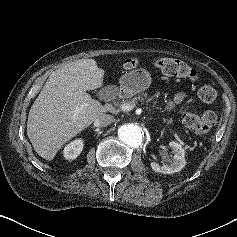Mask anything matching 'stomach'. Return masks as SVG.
I'll list each match as a JSON object with an SVG mask.
<instances>
[{
	"mask_svg": "<svg viewBox=\"0 0 237 237\" xmlns=\"http://www.w3.org/2000/svg\"><path fill=\"white\" fill-rule=\"evenodd\" d=\"M120 89L125 97H132L133 95L145 91L150 83L151 76L148 71L143 68L134 69L124 74L120 80Z\"/></svg>",
	"mask_w": 237,
	"mask_h": 237,
	"instance_id": "1",
	"label": "stomach"
}]
</instances>
